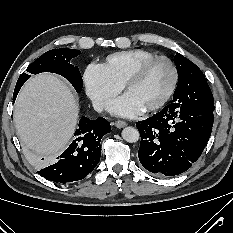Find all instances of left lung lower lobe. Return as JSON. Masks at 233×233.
Masks as SVG:
<instances>
[{
    "label": "left lung lower lobe",
    "mask_w": 233,
    "mask_h": 233,
    "mask_svg": "<svg viewBox=\"0 0 233 233\" xmlns=\"http://www.w3.org/2000/svg\"><path fill=\"white\" fill-rule=\"evenodd\" d=\"M136 127L142 139L138 157L143 167L158 176H175L202 154L211 135L213 111L171 103Z\"/></svg>",
    "instance_id": "0a47b994"
}]
</instances>
